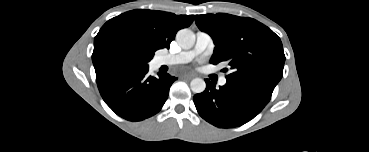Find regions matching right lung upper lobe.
<instances>
[{
	"instance_id": "obj_1",
	"label": "right lung upper lobe",
	"mask_w": 369,
	"mask_h": 152,
	"mask_svg": "<svg viewBox=\"0 0 369 152\" xmlns=\"http://www.w3.org/2000/svg\"><path fill=\"white\" fill-rule=\"evenodd\" d=\"M194 15L136 9L107 21L94 39V44L104 40L109 45L131 44L148 53L169 48L179 29L191 25Z\"/></svg>"
}]
</instances>
